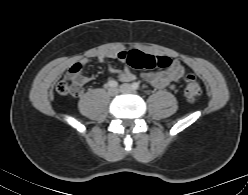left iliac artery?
Returning a JSON list of instances; mask_svg holds the SVG:
<instances>
[{"instance_id":"44dca946","label":"left iliac artery","mask_w":248,"mask_h":195,"mask_svg":"<svg viewBox=\"0 0 248 195\" xmlns=\"http://www.w3.org/2000/svg\"><path fill=\"white\" fill-rule=\"evenodd\" d=\"M132 87L134 90L139 89V83H137V82L132 83Z\"/></svg>"}]
</instances>
